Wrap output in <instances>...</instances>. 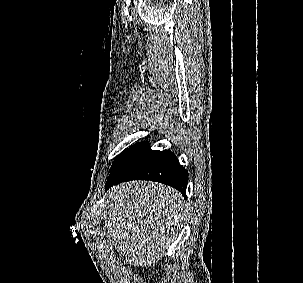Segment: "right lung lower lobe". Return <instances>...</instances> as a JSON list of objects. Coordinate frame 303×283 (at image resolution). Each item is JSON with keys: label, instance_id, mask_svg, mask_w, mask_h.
<instances>
[{"label": "right lung lower lobe", "instance_id": "98d812e1", "mask_svg": "<svg viewBox=\"0 0 303 283\" xmlns=\"http://www.w3.org/2000/svg\"><path fill=\"white\" fill-rule=\"evenodd\" d=\"M131 180L161 182L185 196L188 172L170 150H151L148 141H143L130 147L111 169L106 189Z\"/></svg>", "mask_w": 303, "mask_h": 283}]
</instances>
